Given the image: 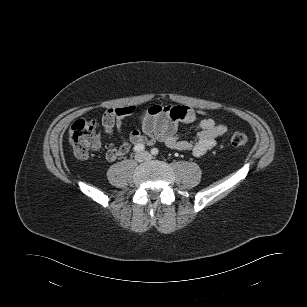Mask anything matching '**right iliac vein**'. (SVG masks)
<instances>
[{
  "instance_id": "right-iliac-vein-1",
  "label": "right iliac vein",
  "mask_w": 307,
  "mask_h": 307,
  "mask_svg": "<svg viewBox=\"0 0 307 307\" xmlns=\"http://www.w3.org/2000/svg\"><path fill=\"white\" fill-rule=\"evenodd\" d=\"M146 158H145V155L143 154V153H137L136 155H135V160L137 161V162H143L144 160H145Z\"/></svg>"
}]
</instances>
